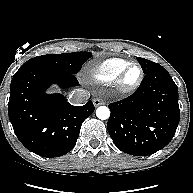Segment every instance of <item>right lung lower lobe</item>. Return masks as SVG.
<instances>
[{"label": "right lung lower lobe", "mask_w": 193, "mask_h": 193, "mask_svg": "<svg viewBox=\"0 0 193 193\" xmlns=\"http://www.w3.org/2000/svg\"><path fill=\"white\" fill-rule=\"evenodd\" d=\"M51 84L78 86L75 74L45 69L17 71L11 81L8 114L20 142L43 157H59L75 146L83 121L95 107L70 105L60 94H46Z\"/></svg>", "instance_id": "1"}]
</instances>
